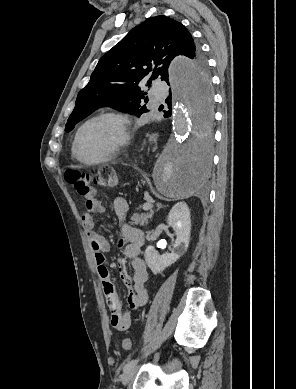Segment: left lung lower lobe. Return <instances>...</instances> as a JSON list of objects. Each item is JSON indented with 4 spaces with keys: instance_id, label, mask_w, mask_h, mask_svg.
<instances>
[{
    "instance_id": "obj_1",
    "label": "left lung lower lobe",
    "mask_w": 296,
    "mask_h": 389,
    "mask_svg": "<svg viewBox=\"0 0 296 389\" xmlns=\"http://www.w3.org/2000/svg\"><path fill=\"white\" fill-rule=\"evenodd\" d=\"M170 85V83H167ZM194 95L197 98H202L203 100H208L209 98V89H202L198 84L192 86ZM175 89V87H174ZM170 94L166 99L168 104V111H164V117L168 118L172 115L171 112V102L172 94L171 89L169 90ZM210 102L207 104L206 108L208 109ZM210 162L209 154V141L205 133L202 134V140L195 142L190 151L184 156V158L177 164V176L181 178H189L190 175L194 179H199L203 177L208 169Z\"/></svg>"
}]
</instances>
